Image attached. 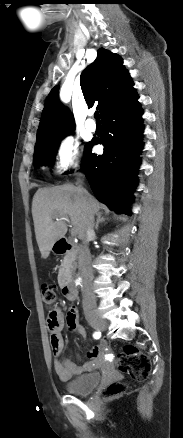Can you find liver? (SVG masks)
<instances>
[{
  "mask_svg": "<svg viewBox=\"0 0 183 438\" xmlns=\"http://www.w3.org/2000/svg\"><path fill=\"white\" fill-rule=\"evenodd\" d=\"M100 208L92 195L73 185L38 189L33 197L32 216L41 257L46 259L54 244L67 232L64 220H53L56 216L69 217L75 234L82 238L90 214H95Z\"/></svg>",
  "mask_w": 183,
  "mask_h": 438,
  "instance_id": "6515ba94",
  "label": "liver"
}]
</instances>
